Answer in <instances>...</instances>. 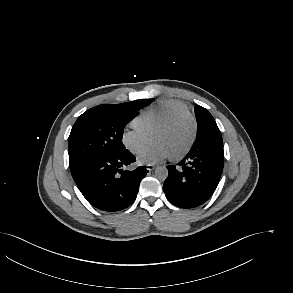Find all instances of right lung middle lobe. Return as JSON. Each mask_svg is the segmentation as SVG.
Wrapping results in <instances>:
<instances>
[{
  "label": "right lung middle lobe",
  "instance_id": "right-lung-middle-lobe-1",
  "mask_svg": "<svg viewBox=\"0 0 293 293\" xmlns=\"http://www.w3.org/2000/svg\"><path fill=\"white\" fill-rule=\"evenodd\" d=\"M152 101L99 105L79 116L68 138L71 172L95 158L125 150L122 143L125 125Z\"/></svg>",
  "mask_w": 293,
  "mask_h": 293
}]
</instances>
